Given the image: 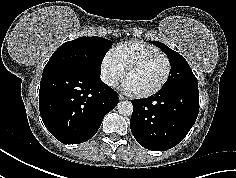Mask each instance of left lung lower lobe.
<instances>
[{
    "mask_svg": "<svg viewBox=\"0 0 236 178\" xmlns=\"http://www.w3.org/2000/svg\"><path fill=\"white\" fill-rule=\"evenodd\" d=\"M198 97V87H169L149 98L132 100L133 136L141 146L152 151L176 146L196 121Z\"/></svg>",
    "mask_w": 236,
    "mask_h": 178,
    "instance_id": "1",
    "label": "left lung lower lobe"
}]
</instances>
